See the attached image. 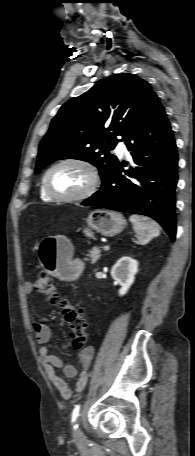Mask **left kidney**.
Instances as JSON below:
<instances>
[{
    "label": "left kidney",
    "mask_w": 195,
    "mask_h": 456,
    "mask_svg": "<svg viewBox=\"0 0 195 456\" xmlns=\"http://www.w3.org/2000/svg\"><path fill=\"white\" fill-rule=\"evenodd\" d=\"M138 272L137 260L124 256L120 258L111 269L112 278L121 286L119 295H125L134 283L135 274Z\"/></svg>",
    "instance_id": "1"
}]
</instances>
